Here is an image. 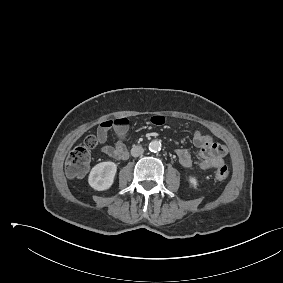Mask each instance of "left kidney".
I'll list each match as a JSON object with an SVG mask.
<instances>
[{"label": "left kidney", "instance_id": "1", "mask_svg": "<svg viewBox=\"0 0 283 283\" xmlns=\"http://www.w3.org/2000/svg\"><path fill=\"white\" fill-rule=\"evenodd\" d=\"M189 182H190V185H191L192 187L197 188V186H198V181H197L196 177L190 176V177H189Z\"/></svg>", "mask_w": 283, "mask_h": 283}]
</instances>
